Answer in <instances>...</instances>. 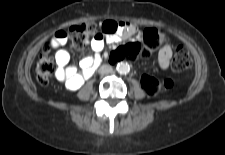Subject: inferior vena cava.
Here are the masks:
<instances>
[{"instance_id": "inferior-vena-cava-1", "label": "inferior vena cava", "mask_w": 225, "mask_h": 155, "mask_svg": "<svg viewBox=\"0 0 225 155\" xmlns=\"http://www.w3.org/2000/svg\"><path fill=\"white\" fill-rule=\"evenodd\" d=\"M113 71L112 67L110 65H102L99 68V73L100 74H108L111 73Z\"/></svg>"}]
</instances>
